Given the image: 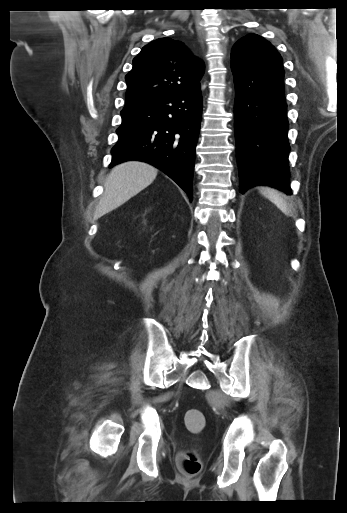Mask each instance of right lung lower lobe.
Returning <instances> with one entry per match:
<instances>
[{"mask_svg": "<svg viewBox=\"0 0 347 513\" xmlns=\"http://www.w3.org/2000/svg\"><path fill=\"white\" fill-rule=\"evenodd\" d=\"M201 114L200 90L123 109L110 166L128 160L150 163L171 177L192 201Z\"/></svg>", "mask_w": 347, "mask_h": 513, "instance_id": "right-lung-lower-lobe-1", "label": "right lung lower lobe"}]
</instances>
